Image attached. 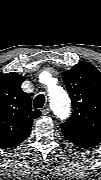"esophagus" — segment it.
Returning <instances> with one entry per match:
<instances>
[{
	"label": "esophagus",
	"mask_w": 101,
	"mask_h": 180,
	"mask_svg": "<svg viewBox=\"0 0 101 180\" xmlns=\"http://www.w3.org/2000/svg\"><path fill=\"white\" fill-rule=\"evenodd\" d=\"M50 113V108L48 106H44L42 109L43 115H48Z\"/></svg>",
	"instance_id": "esophagus-1"
}]
</instances>
